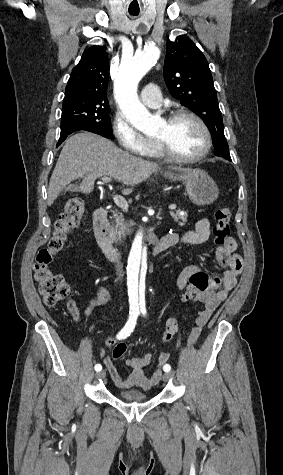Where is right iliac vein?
<instances>
[{
    "label": "right iliac vein",
    "instance_id": "obj_1",
    "mask_svg": "<svg viewBox=\"0 0 283 475\" xmlns=\"http://www.w3.org/2000/svg\"><path fill=\"white\" fill-rule=\"evenodd\" d=\"M98 378H104L105 377V370L100 371L99 373L96 374Z\"/></svg>",
    "mask_w": 283,
    "mask_h": 475
}]
</instances>
